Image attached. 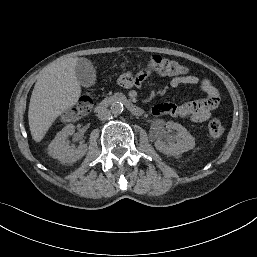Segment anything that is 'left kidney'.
Instances as JSON below:
<instances>
[{"label": "left kidney", "instance_id": "left-kidney-1", "mask_svg": "<svg viewBox=\"0 0 257 257\" xmlns=\"http://www.w3.org/2000/svg\"><path fill=\"white\" fill-rule=\"evenodd\" d=\"M173 130L176 131L174 140L170 137V133ZM155 146L166 155L176 156L193 149L195 141L185 127L176 122L169 121L165 124V129L158 137Z\"/></svg>", "mask_w": 257, "mask_h": 257}]
</instances>
